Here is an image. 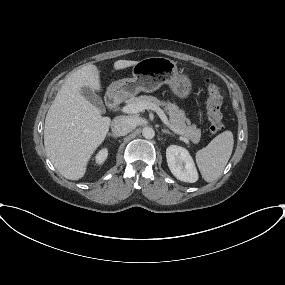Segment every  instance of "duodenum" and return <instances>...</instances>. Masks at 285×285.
Instances as JSON below:
<instances>
[{"instance_id":"1","label":"duodenum","mask_w":285,"mask_h":285,"mask_svg":"<svg viewBox=\"0 0 285 285\" xmlns=\"http://www.w3.org/2000/svg\"><path fill=\"white\" fill-rule=\"evenodd\" d=\"M120 102V98L117 94L110 93L106 98V105L107 107L112 110L118 106Z\"/></svg>"}]
</instances>
